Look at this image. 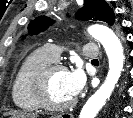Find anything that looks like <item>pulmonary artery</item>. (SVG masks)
I'll use <instances>...</instances> for the list:
<instances>
[{
  "mask_svg": "<svg viewBox=\"0 0 133 118\" xmlns=\"http://www.w3.org/2000/svg\"><path fill=\"white\" fill-rule=\"evenodd\" d=\"M43 50L51 57L52 60H57L61 52V48L57 45H45ZM83 54L87 58L95 59L99 56V49L95 44L88 43L82 48Z\"/></svg>",
  "mask_w": 133,
  "mask_h": 118,
  "instance_id": "pulmonary-artery-1",
  "label": "pulmonary artery"
}]
</instances>
